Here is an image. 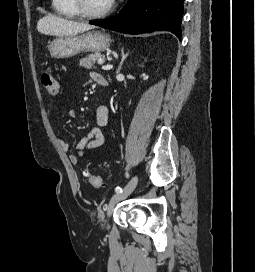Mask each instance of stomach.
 <instances>
[{
    "mask_svg": "<svg viewBox=\"0 0 255 272\" xmlns=\"http://www.w3.org/2000/svg\"><path fill=\"white\" fill-rule=\"evenodd\" d=\"M112 39L105 31H89L80 35L60 36L48 47L53 58H68L81 52L99 53L109 49Z\"/></svg>",
    "mask_w": 255,
    "mask_h": 272,
    "instance_id": "0dacf381",
    "label": "stomach"
}]
</instances>
